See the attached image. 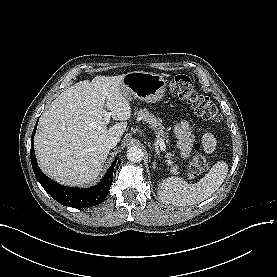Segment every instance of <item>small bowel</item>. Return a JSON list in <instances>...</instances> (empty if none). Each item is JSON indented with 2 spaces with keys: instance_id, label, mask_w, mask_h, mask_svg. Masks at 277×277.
Segmentation results:
<instances>
[{
  "instance_id": "obj_1",
  "label": "small bowel",
  "mask_w": 277,
  "mask_h": 277,
  "mask_svg": "<svg viewBox=\"0 0 277 277\" xmlns=\"http://www.w3.org/2000/svg\"><path fill=\"white\" fill-rule=\"evenodd\" d=\"M174 133L178 139V150L183 157L190 156L193 153L194 146L199 147L206 154H210L215 150L216 139L211 133L203 134L201 141L194 145V126L186 120L175 122Z\"/></svg>"
}]
</instances>
